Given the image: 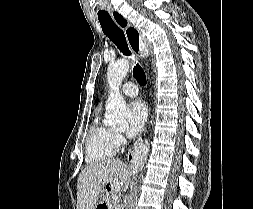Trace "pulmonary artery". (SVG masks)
Wrapping results in <instances>:
<instances>
[{"instance_id":"1","label":"pulmonary artery","mask_w":253,"mask_h":209,"mask_svg":"<svg viewBox=\"0 0 253 209\" xmlns=\"http://www.w3.org/2000/svg\"><path fill=\"white\" fill-rule=\"evenodd\" d=\"M121 92L126 96L134 97L138 94V88L134 83L127 82L122 86Z\"/></svg>"}]
</instances>
